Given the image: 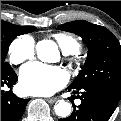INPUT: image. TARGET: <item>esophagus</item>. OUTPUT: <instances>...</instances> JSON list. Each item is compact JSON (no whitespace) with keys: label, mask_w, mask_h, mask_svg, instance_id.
<instances>
[{"label":"esophagus","mask_w":121,"mask_h":121,"mask_svg":"<svg viewBox=\"0 0 121 121\" xmlns=\"http://www.w3.org/2000/svg\"><path fill=\"white\" fill-rule=\"evenodd\" d=\"M58 100L57 97H54V98H48L47 101L51 104L55 103L56 101Z\"/></svg>","instance_id":"1"}]
</instances>
